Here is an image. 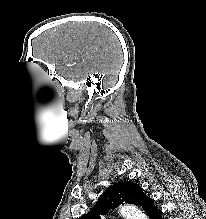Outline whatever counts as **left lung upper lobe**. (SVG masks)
<instances>
[{"mask_svg": "<svg viewBox=\"0 0 206 219\" xmlns=\"http://www.w3.org/2000/svg\"><path fill=\"white\" fill-rule=\"evenodd\" d=\"M152 199L143 193L137 184L127 181L113 184L98 199L94 207L78 219H101L109 209L114 210L122 203H131L141 206L147 214Z\"/></svg>", "mask_w": 206, "mask_h": 219, "instance_id": "left-lung-upper-lobe-1", "label": "left lung upper lobe"}]
</instances>
